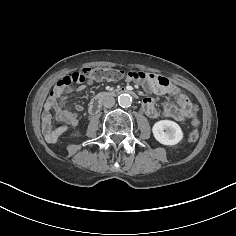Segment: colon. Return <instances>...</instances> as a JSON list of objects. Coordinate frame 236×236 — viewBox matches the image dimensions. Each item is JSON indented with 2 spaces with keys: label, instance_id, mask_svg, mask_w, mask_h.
<instances>
[{
  "label": "colon",
  "instance_id": "obj_1",
  "mask_svg": "<svg viewBox=\"0 0 236 236\" xmlns=\"http://www.w3.org/2000/svg\"><path fill=\"white\" fill-rule=\"evenodd\" d=\"M134 80H142L144 78V74L139 71H133L131 74L128 73ZM124 76V72L120 69L116 68H84L80 72H73L68 74L65 78H63L61 83H58V87L56 90H61L65 86H69L72 84H81L85 81H99V80H108V81H116L121 79ZM197 107L192 106V113L194 115L192 119V130L189 135L190 141L194 142L199 137V119L196 116Z\"/></svg>",
  "mask_w": 236,
  "mask_h": 236
}]
</instances>
